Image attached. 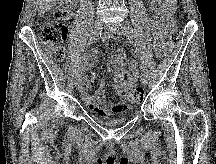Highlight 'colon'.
<instances>
[{
	"instance_id": "colon-1",
	"label": "colon",
	"mask_w": 216,
	"mask_h": 164,
	"mask_svg": "<svg viewBox=\"0 0 216 164\" xmlns=\"http://www.w3.org/2000/svg\"><path fill=\"white\" fill-rule=\"evenodd\" d=\"M72 1L62 0L55 8L54 19L45 24L41 33V39L47 46L48 54L56 61H62L65 57V42L68 35V21L71 15ZM181 33L178 22L172 19L170 22V37L165 52L170 53L179 43ZM144 90L136 87L126 95V100L133 104L143 101Z\"/></svg>"
}]
</instances>
